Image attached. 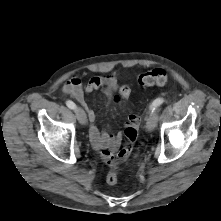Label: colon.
Instances as JSON below:
<instances>
[{"mask_svg": "<svg viewBox=\"0 0 221 221\" xmlns=\"http://www.w3.org/2000/svg\"><path fill=\"white\" fill-rule=\"evenodd\" d=\"M138 81L142 86L145 87L162 86L167 81V75L163 69L155 68L141 74ZM129 96L130 88L128 86H122L115 97V101L122 106ZM138 124L139 123L130 125L125 129V146L117 155L110 157V159L107 161L110 169L106 174V182L110 185H114L118 182L119 163L120 161L126 159L133 149V145L138 136Z\"/></svg>", "mask_w": 221, "mask_h": 221, "instance_id": "5ec220e1", "label": "colon"}]
</instances>
